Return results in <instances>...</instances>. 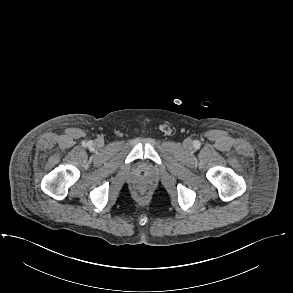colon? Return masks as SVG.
Wrapping results in <instances>:
<instances>
[{
    "instance_id": "obj_1",
    "label": "colon",
    "mask_w": 293,
    "mask_h": 293,
    "mask_svg": "<svg viewBox=\"0 0 293 293\" xmlns=\"http://www.w3.org/2000/svg\"><path fill=\"white\" fill-rule=\"evenodd\" d=\"M137 194L141 198H145L147 196V190L145 188H139Z\"/></svg>"
}]
</instances>
